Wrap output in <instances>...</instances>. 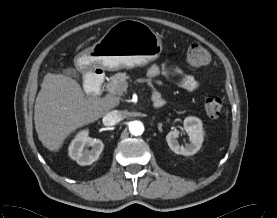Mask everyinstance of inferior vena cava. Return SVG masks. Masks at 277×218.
<instances>
[{"mask_svg":"<svg viewBox=\"0 0 277 218\" xmlns=\"http://www.w3.org/2000/svg\"><path fill=\"white\" fill-rule=\"evenodd\" d=\"M123 119V115L119 110H112L103 117V124L105 126H113Z\"/></svg>","mask_w":277,"mask_h":218,"instance_id":"inferior-vena-cava-1","label":"inferior vena cava"}]
</instances>
